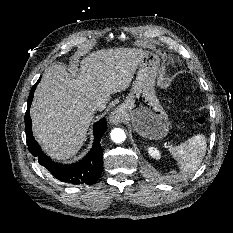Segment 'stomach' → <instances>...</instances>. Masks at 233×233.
Returning a JSON list of instances; mask_svg holds the SVG:
<instances>
[{
  "label": "stomach",
  "instance_id": "0dacf381",
  "mask_svg": "<svg viewBox=\"0 0 233 233\" xmlns=\"http://www.w3.org/2000/svg\"><path fill=\"white\" fill-rule=\"evenodd\" d=\"M158 63L153 51H144L130 93L117 108L122 119L131 122L134 131L150 140L166 137L170 126L154 90Z\"/></svg>",
  "mask_w": 233,
  "mask_h": 233
}]
</instances>
